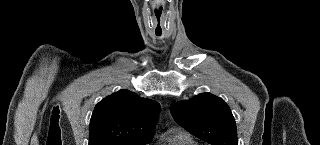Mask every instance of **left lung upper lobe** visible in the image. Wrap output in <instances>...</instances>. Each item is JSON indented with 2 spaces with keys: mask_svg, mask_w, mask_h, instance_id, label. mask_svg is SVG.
<instances>
[{
  "mask_svg": "<svg viewBox=\"0 0 320 145\" xmlns=\"http://www.w3.org/2000/svg\"><path fill=\"white\" fill-rule=\"evenodd\" d=\"M175 121L199 139L211 145H238L236 124L226 102L204 93L171 104Z\"/></svg>",
  "mask_w": 320,
  "mask_h": 145,
  "instance_id": "5c2ea615",
  "label": "left lung upper lobe"
}]
</instances>
